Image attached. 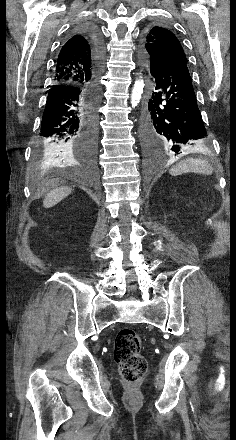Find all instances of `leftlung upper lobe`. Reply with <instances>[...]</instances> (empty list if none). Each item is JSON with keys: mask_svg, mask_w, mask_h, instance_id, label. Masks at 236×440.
I'll list each match as a JSON object with an SVG mask.
<instances>
[{"mask_svg": "<svg viewBox=\"0 0 236 440\" xmlns=\"http://www.w3.org/2000/svg\"><path fill=\"white\" fill-rule=\"evenodd\" d=\"M141 54L148 65L179 58L187 64V58L178 38L169 29L154 26L149 29L141 44Z\"/></svg>", "mask_w": 236, "mask_h": 440, "instance_id": "5c2ea615", "label": "left lung upper lobe"}]
</instances>
